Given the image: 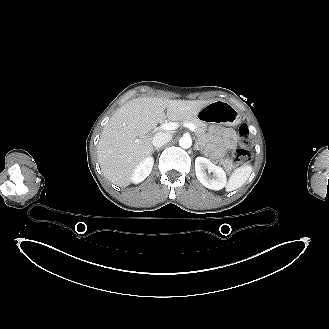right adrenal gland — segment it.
Returning <instances> with one entry per match:
<instances>
[{
	"label": "right adrenal gland",
	"instance_id": "2a0ac1e0",
	"mask_svg": "<svg viewBox=\"0 0 329 329\" xmlns=\"http://www.w3.org/2000/svg\"><path fill=\"white\" fill-rule=\"evenodd\" d=\"M160 148H152L151 152L153 153L154 151H159Z\"/></svg>",
	"mask_w": 329,
	"mask_h": 329
}]
</instances>
